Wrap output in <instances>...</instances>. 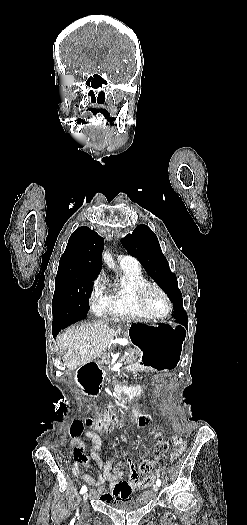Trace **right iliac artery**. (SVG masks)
<instances>
[{
  "instance_id": "right-iliac-artery-1",
  "label": "right iliac artery",
  "mask_w": 247,
  "mask_h": 525,
  "mask_svg": "<svg viewBox=\"0 0 247 525\" xmlns=\"http://www.w3.org/2000/svg\"><path fill=\"white\" fill-rule=\"evenodd\" d=\"M87 491V487L84 485L82 486L80 493H85Z\"/></svg>"
}]
</instances>
